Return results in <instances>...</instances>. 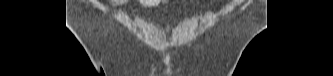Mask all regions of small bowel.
<instances>
[{
  "mask_svg": "<svg viewBox=\"0 0 333 76\" xmlns=\"http://www.w3.org/2000/svg\"><path fill=\"white\" fill-rule=\"evenodd\" d=\"M126 1L124 0H111L110 3L113 4V5H122L124 4ZM144 4L146 5H159L161 4V2H158L156 0H146V1H143Z\"/></svg>",
  "mask_w": 333,
  "mask_h": 76,
  "instance_id": "small-bowel-1",
  "label": "small bowel"
}]
</instances>
